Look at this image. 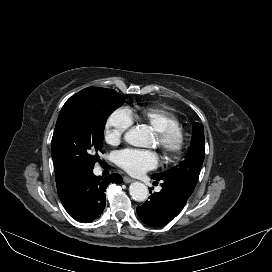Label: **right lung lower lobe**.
Here are the masks:
<instances>
[{
  "label": "right lung lower lobe",
  "mask_w": 272,
  "mask_h": 272,
  "mask_svg": "<svg viewBox=\"0 0 272 272\" xmlns=\"http://www.w3.org/2000/svg\"><path fill=\"white\" fill-rule=\"evenodd\" d=\"M122 177L113 173L105 178L93 171L84 174L62 197L66 211L77 221L88 223L97 219L106 205L105 190L110 183H122Z\"/></svg>",
  "instance_id": "1"
}]
</instances>
